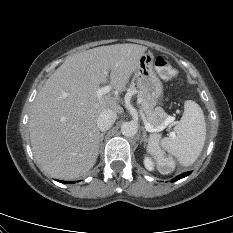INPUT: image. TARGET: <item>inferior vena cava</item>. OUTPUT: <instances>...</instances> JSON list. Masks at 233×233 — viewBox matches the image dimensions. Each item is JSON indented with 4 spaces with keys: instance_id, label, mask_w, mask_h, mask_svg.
Returning <instances> with one entry per match:
<instances>
[{
    "instance_id": "obj_1",
    "label": "inferior vena cava",
    "mask_w": 233,
    "mask_h": 233,
    "mask_svg": "<svg viewBox=\"0 0 233 233\" xmlns=\"http://www.w3.org/2000/svg\"><path fill=\"white\" fill-rule=\"evenodd\" d=\"M117 118V114L110 109L103 110L98 119H97V126L100 131H107L112 127L115 120Z\"/></svg>"
}]
</instances>
